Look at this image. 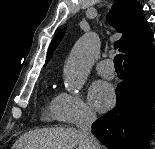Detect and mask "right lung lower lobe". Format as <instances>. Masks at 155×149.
I'll return each mask as SVG.
<instances>
[{
  "label": "right lung lower lobe",
  "instance_id": "obj_1",
  "mask_svg": "<svg viewBox=\"0 0 155 149\" xmlns=\"http://www.w3.org/2000/svg\"><path fill=\"white\" fill-rule=\"evenodd\" d=\"M124 68V80L116 89L117 105L92 124V133L108 149H147L155 121L154 56Z\"/></svg>",
  "mask_w": 155,
  "mask_h": 149
}]
</instances>
